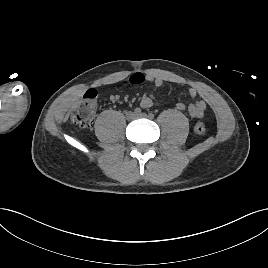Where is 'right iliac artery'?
<instances>
[{
	"label": "right iliac artery",
	"instance_id": "obj_1",
	"mask_svg": "<svg viewBox=\"0 0 268 268\" xmlns=\"http://www.w3.org/2000/svg\"><path fill=\"white\" fill-rule=\"evenodd\" d=\"M141 109L140 108H135L134 109V113L136 114V115H139V114H141Z\"/></svg>",
	"mask_w": 268,
	"mask_h": 268
}]
</instances>
